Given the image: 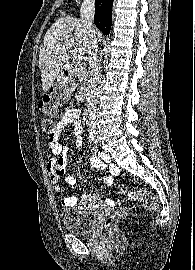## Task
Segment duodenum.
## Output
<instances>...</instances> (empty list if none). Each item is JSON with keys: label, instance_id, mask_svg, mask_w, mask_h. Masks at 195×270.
Returning <instances> with one entry per match:
<instances>
[{"label": "duodenum", "instance_id": "obj_1", "mask_svg": "<svg viewBox=\"0 0 195 270\" xmlns=\"http://www.w3.org/2000/svg\"><path fill=\"white\" fill-rule=\"evenodd\" d=\"M73 75V68L71 65H66L65 66V69H64V77L66 79H69L71 78ZM88 96H89V88L88 87H84L82 88L79 93H78V98L80 101H87L88 99Z\"/></svg>", "mask_w": 195, "mask_h": 270}]
</instances>
